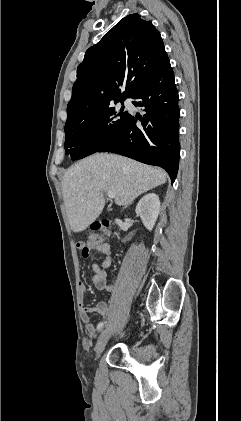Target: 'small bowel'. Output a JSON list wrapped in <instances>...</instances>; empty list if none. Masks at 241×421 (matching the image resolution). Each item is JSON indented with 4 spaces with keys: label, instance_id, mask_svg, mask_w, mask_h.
<instances>
[{
    "label": "small bowel",
    "instance_id": "small-bowel-1",
    "mask_svg": "<svg viewBox=\"0 0 241 421\" xmlns=\"http://www.w3.org/2000/svg\"><path fill=\"white\" fill-rule=\"evenodd\" d=\"M96 248L105 255V258L101 265L96 263L92 264V270L94 272L93 284L100 290L112 294L115 290L113 284L107 282V270L112 264L111 249L107 243H101ZM86 285L83 282L79 283L78 292L79 297L82 300L86 293ZM96 312L101 316H106L109 312V304L107 301H100L94 308L82 307V321L85 326V332L90 338L96 336V328L90 321V314Z\"/></svg>",
    "mask_w": 241,
    "mask_h": 421
}]
</instances>
